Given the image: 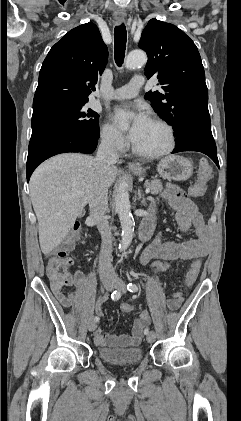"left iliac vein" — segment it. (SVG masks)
I'll list each match as a JSON object with an SVG mask.
<instances>
[{
    "label": "left iliac vein",
    "mask_w": 241,
    "mask_h": 421,
    "mask_svg": "<svg viewBox=\"0 0 241 421\" xmlns=\"http://www.w3.org/2000/svg\"><path fill=\"white\" fill-rule=\"evenodd\" d=\"M114 288H116L118 291L120 292H125L126 291V286L125 283L120 279V278H115L114 279ZM156 339V334L154 331L149 332V334L147 335V341L149 343H153Z\"/></svg>",
    "instance_id": "left-iliac-vein-1"
}]
</instances>
